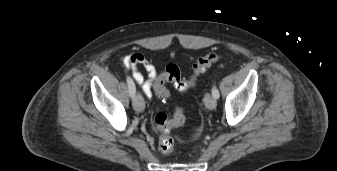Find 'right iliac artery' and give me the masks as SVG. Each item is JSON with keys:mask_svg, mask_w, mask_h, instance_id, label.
<instances>
[{"mask_svg": "<svg viewBox=\"0 0 337 171\" xmlns=\"http://www.w3.org/2000/svg\"><path fill=\"white\" fill-rule=\"evenodd\" d=\"M126 81L129 88V94L131 97H134L136 91L135 84L129 76H127Z\"/></svg>", "mask_w": 337, "mask_h": 171, "instance_id": "82829eb1", "label": "right iliac artery"}]
</instances>
